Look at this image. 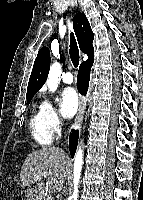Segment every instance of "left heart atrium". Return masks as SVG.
I'll list each match as a JSON object with an SVG mask.
<instances>
[{
	"label": "left heart atrium",
	"instance_id": "39dd6f15",
	"mask_svg": "<svg viewBox=\"0 0 143 200\" xmlns=\"http://www.w3.org/2000/svg\"><path fill=\"white\" fill-rule=\"evenodd\" d=\"M79 107V98L73 88H66L61 94L60 110L62 115L70 119L72 118Z\"/></svg>",
	"mask_w": 143,
	"mask_h": 200
}]
</instances>
